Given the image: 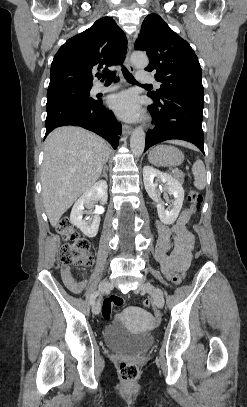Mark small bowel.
<instances>
[{
    "mask_svg": "<svg viewBox=\"0 0 247 407\" xmlns=\"http://www.w3.org/2000/svg\"><path fill=\"white\" fill-rule=\"evenodd\" d=\"M191 215L192 210L185 209L174 226L157 223L156 254L162 272L168 279L175 273L184 274L190 266L195 245V237L187 228ZM61 275L65 285L74 293L83 291L87 285V280H75L69 266L61 268Z\"/></svg>",
    "mask_w": 247,
    "mask_h": 407,
    "instance_id": "1",
    "label": "small bowel"
}]
</instances>
